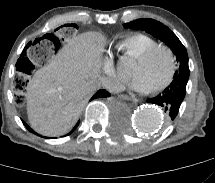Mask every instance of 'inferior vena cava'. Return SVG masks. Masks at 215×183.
I'll list each match as a JSON object with an SVG mask.
<instances>
[{"instance_id": "602c4592", "label": "inferior vena cava", "mask_w": 215, "mask_h": 183, "mask_svg": "<svg viewBox=\"0 0 215 183\" xmlns=\"http://www.w3.org/2000/svg\"><path fill=\"white\" fill-rule=\"evenodd\" d=\"M98 86L102 85L103 87H109L110 85V80L108 78H101L99 79L98 83H97Z\"/></svg>"}]
</instances>
